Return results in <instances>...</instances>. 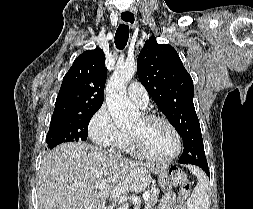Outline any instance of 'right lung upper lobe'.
I'll list each match as a JSON object with an SVG mask.
<instances>
[{
    "label": "right lung upper lobe",
    "instance_id": "obj_1",
    "mask_svg": "<svg viewBox=\"0 0 253 209\" xmlns=\"http://www.w3.org/2000/svg\"><path fill=\"white\" fill-rule=\"evenodd\" d=\"M107 78L105 55L99 48L79 55L63 78L52 118L100 108Z\"/></svg>",
    "mask_w": 253,
    "mask_h": 209
}]
</instances>
